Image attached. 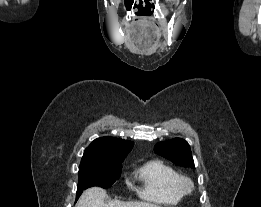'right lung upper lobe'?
<instances>
[{
	"label": "right lung upper lobe",
	"mask_w": 261,
	"mask_h": 207,
	"mask_svg": "<svg viewBox=\"0 0 261 207\" xmlns=\"http://www.w3.org/2000/svg\"><path fill=\"white\" fill-rule=\"evenodd\" d=\"M134 143L114 137L95 139L84 151L80 165L108 164L115 159L125 157Z\"/></svg>",
	"instance_id": "cb5924a9"
}]
</instances>
